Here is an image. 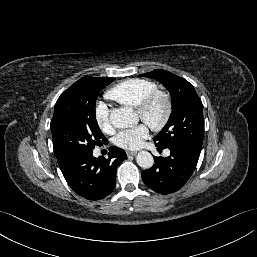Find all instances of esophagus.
<instances>
[{"label":"esophagus","mask_w":257,"mask_h":257,"mask_svg":"<svg viewBox=\"0 0 257 257\" xmlns=\"http://www.w3.org/2000/svg\"><path fill=\"white\" fill-rule=\"evenodd\" d=\"M128 156H135L137 155V152H133V151H127L126 152Z\"/></svg>","instance_id":"1"}]
</instances>
